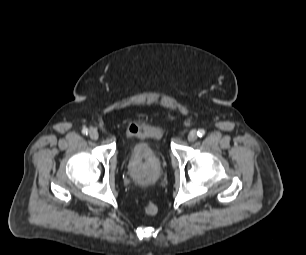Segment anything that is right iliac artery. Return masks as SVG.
Returning <instances> with one entry per match:
<instances>
[{
  "instance_id": "obj_1",
  "label": "right iliac artery",
  "mask_w": 306,
  "mask_h": 255,
  "mask_svg": "<svg viewBox=\"0 0 306 255\" xmlns=\"http://www.w3.org/2000/svg\"><path fill=\"white\" fill-rule=\"evenodd\" d=\"M82 133H83L84 135H87V134H88V129H87V128H83V129H82Z\"/></svg>"
}]
</instances>
